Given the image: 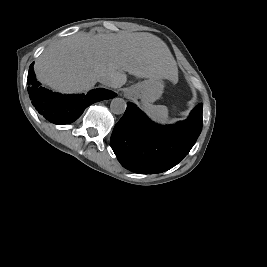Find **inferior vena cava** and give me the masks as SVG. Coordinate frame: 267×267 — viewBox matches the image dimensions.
Masks as SVG:
<instances>
[{
	"instance_id": "1",
	"label": "inferior vena cava",
	"mask_w": 267,
	"mask_h": 267,
	"mask_svg": "<svg viewBox=\"0 0 267 267\" xmlns=\"http://www.w3.org/2000/svg\"><path fill=\"white\" fill-rule=\"evenodd\" d=\"M99 82L105 86L114 87V81L107 76L100 77Z\"/></svg>"
}]
</instances>
